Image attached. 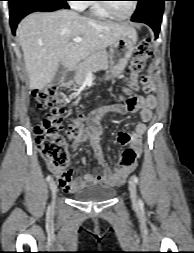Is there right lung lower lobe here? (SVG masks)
Wrapping results in <instances>:
<instances>
[{
  "label": "right lung lower lobe",
  "instance_id": "obj_1",
  "mask_svg": "<svg viewBox=\"0 0 194 253\" xmlns=\"http://www.w3.org/2000/svg\"><path fill=\"white\" fill-rule=\"evenodd\" d=\"M12 32L15 33L19 21L35 11H55L68 8L67 0H8Z\"/></svg>",
  "mask_w": 194,
  "mask_h": 253
}]
</instances>
